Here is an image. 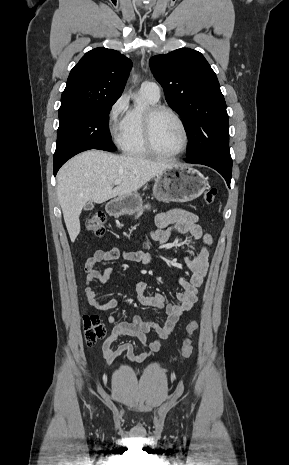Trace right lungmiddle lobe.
Instances as JSON below:
<instances>
[{"instance_id":"right-lung-middle-lobe-1","label":"right lung middle lobe","mask_w":289,"mask_h":465,"mask_svg":"<svg viewBox=\"0 0 289 465\" xmlns=\"http://www.w3.org/2000/svg\"><path fill=\"white\" fill-rule=\"evenodd\" d=\"M116 101L106 100L88 107L59 110L54 162L68 160L93 148L115 151L108 128V115Z\"/></svg>"}]
</instances>
